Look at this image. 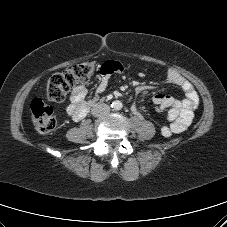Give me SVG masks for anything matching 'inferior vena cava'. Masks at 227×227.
I'll return each instance as SVG.
<instances>
[{"instance_id":"inferior-vena-cava-1","label":"inferior vena cava","mask_w":227,"mask_h":227,"mask_svg":"<svg viewBox=\"0 0 227 227\" xmlns=\"http://www.w3.org/2000/svg\"><path fill=\"white\" fill-rule=\"evenodd\" d=\"M110 112V107L105 103H96L92 108L94 116H103Z\"/></svg>"}]
</instances>
